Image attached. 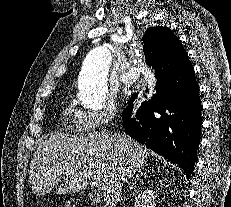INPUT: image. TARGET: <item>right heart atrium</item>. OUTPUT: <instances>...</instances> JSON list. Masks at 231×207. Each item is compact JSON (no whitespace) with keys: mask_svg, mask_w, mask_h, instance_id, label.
I'll return each instance as SVG.
<instances>
[{"mask_svg":"<svg viewBox=\"0 0 231 207\" xmlns=\"http://www.w3.org/2000/svg\"><path fill=\"white\" fill-rule=\"evenodd\" d=\"M115 116L116 108L113 104L109 103L100 110L79 112L78 118L81 127L94 130L108 125Z\"/></svg>","mask_w":231,"mask_h":207,"instance_id":"1","label":"right heart atrium"}]
</instances>
